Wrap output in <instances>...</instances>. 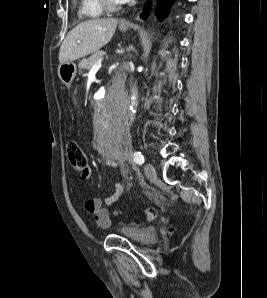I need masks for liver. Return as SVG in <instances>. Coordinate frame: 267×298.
<instances>
[{"mask_svg": "<svg viewBox=\"0 0 267 298\" xmlns=\"http://www.w3.org/2000/svg\"><path fill=\"white\" fill-rule=\"evenodd\" d=\"M118 20L113 18L91 19L74 27L60 46V64L73 62L96 52L112 38Z\"/></svg>", "mask_w": 267, "mask_h": 298, "instance_id": "liver-1", "label": "liver"}]
</instances>
